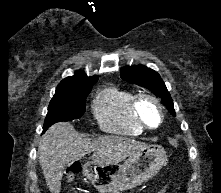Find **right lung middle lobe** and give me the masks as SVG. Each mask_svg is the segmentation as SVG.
Here are the masks:
<instances>
[{
    "instance_id": "obj_1",
    "label": "right lung middle lobe",
    "mask_w": 221,
    "mask_h": 193,
    "mask_svg": "<svg viewBox=\"0 0 221 193\" xmlns=\"http://www.w3.org/2000/svg\"><path fill=\"white\" fill-rule=\"evenodd\" d=\"M93 84L56 90L48 107L43 131L56 122L80 118L85 112L86 97L92 90Z\"/></svg>"
}]
</instances>
